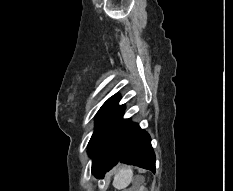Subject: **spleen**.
<instances>
[{
    "mask_svg": "<svg viewBox=\"0 0 233 191\" xmlns=\"http://www.w3.org/2000/svg\"><path fill=\"white\" fill-rule=\"evenodd\" d=\"M132 176V170L125 168L120 169L114 177L113 186L119 190L126 188L132 181Z\"/></svg>",
    "mask_w": 233,
    "mask_h": 191,
    "instance_id": "obj_1",
    "label": "spleen"
}]
</instances>
